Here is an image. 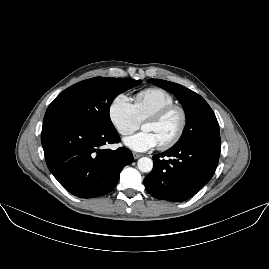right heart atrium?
I'll return each instance as SVG.
<instances>
[{
	"label": "right heart atrium",
	"mask_w": 269,
	"mask_h": 269,
	"mask_svg": "<svg viewBox=\"0 0 269 269\" xmlns=\"http://www.w3.org/2000/svg\"><path fill=\"white\" fill-rule=\"evenodd\" d=\"M108 118L122 136L130 135L141 126L132 102L125 94H118L113 98L108 107Z\"/></svg>",
	"instance_id": "1"
}]
</instances>
